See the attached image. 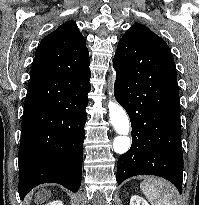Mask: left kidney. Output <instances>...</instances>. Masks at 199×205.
Segmentation results:
<instances>
[{"label":"left kidney","instance_id":"obj_1","mask_svg":"<svg viewBox=\"0 0 199 205\" xmlns=\"http://www.w3.org/2000/svg\"><path fill=\"white\" fill-rule=\"evenodd\" d=\"M130 205H149V203L138 195H133L130 199Z\"/></svg>","mask_w":199,"mask_h":205}]
</instances>
